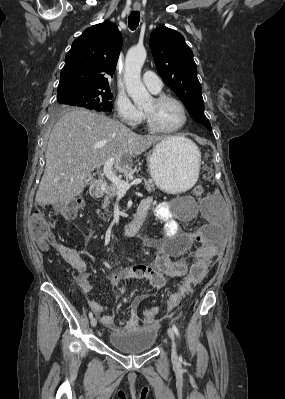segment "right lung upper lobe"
Instances as JSON below:
<instances>
[{
	"instance_id": "1",
	"label": "right lung upper lobe",
	"mask_w": 285,
	"mask_h": 399,
	"mask_svg": "<svg viewBox=\"0 0 285 399\" xmlns=\"http://www.w3.org/2000/svg\"><path fill=\"white\" fill-rule=\"evenodd\" d=\"M121 47L122 36L114 23L104 21L87 28L65 57L58 92L108 88Z\"/></svg>"
}]
</instances>
